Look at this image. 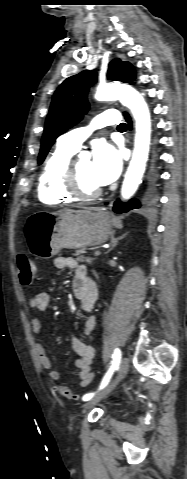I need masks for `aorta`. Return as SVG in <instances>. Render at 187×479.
<instances>
[{
	"label": "aorta",
	"instance_id": "aorta-1",
	"mask_svg": "<svg viewBox=\"0 0 187 479\" xmlns=\"http://www.w3.org/2000/svg\"><path fill=\"white\" fill-rule=\"evenodd\" d=\"M95 98L98 101L120 100L131 110L136 122L133 155L121 189L123 199L128 200L137 190L145 171L151 135L150 112L142 95L127 85H100Z\"/></svg>",
	"mask_w": 187,
	"mask_h": 479
}]
</instances>
